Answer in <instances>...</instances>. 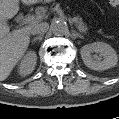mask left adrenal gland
<instances>
[{
	"mask_svg": "<svg viewBox=\"0 0 119 119\" xmlns=\"http://www.w3.org/2000/svg\"><path fill=\"white\" fill-rule=\"evenodd\" d=\"M73 37L74 38H82L83 39V36L79 33H76L75 31H73Z\"/></svg>",
	"mask_w": 119,
	"mask_h": 119,
	"instance_id": "a2214340",
	"label": "left adrenal gland"
}]
</instances>
